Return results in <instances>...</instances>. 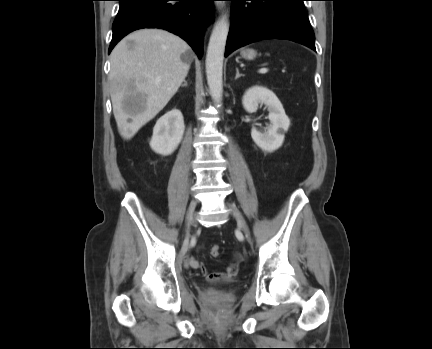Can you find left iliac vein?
<instances>
[{"mask_svg":"<svg viewBox=\"0 0 432 349\" xmlns=\"http://www.w3.org/2000/svg\"><path fill=\"white\" fill-rule=\"evenodd\" d=\"M230 208L232 210V213H233L234 217L237 220L238 225L245 232L246 236L249 237V230H248L247 224H246L243 216L241 215V213L239 212V210L236 208V206H234V205L231 204Z\"/></svg>","mask_w":432,"mask_h":349,"instance_id":"obj_1","label":"left iliac vein"}]
</instances>
